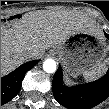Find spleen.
<instances>
[{"instance_id": "3e777b00", "label": "spleen", "mask_w": 109, "mask_h": 109, "mask_svg": "<svg viewBox=\"0 0 109 109\" xmlns=\"http://www.w3.org/2000/svg\"><path fill=\"white\" fill-rule=\"evenodd\" d=\"M107 63H101L96 69L83 73L84 79L86 81H93L99 78L107 70Z\"/></svg>"}]
</instances>
